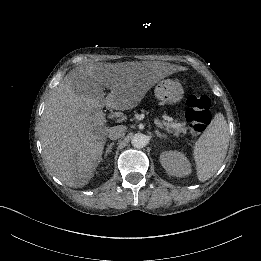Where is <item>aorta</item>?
<instances>
[{
	"instance_id": "1",
	"label": "aorta",
	"mask_w": 261,
	"mask_h": 261,
	"mask_svg": "<svg viewBox=\"0 0 261 261\" xmlns=\"http://www.w3.org/2000/svg\"><path fill=\"white\" fill-rule=\"evenodd\" d=\"M148 143V137L144 134L138 133L135 134L131 140V144L135 148H143Z\"/></svg>"
}]
</instances>
